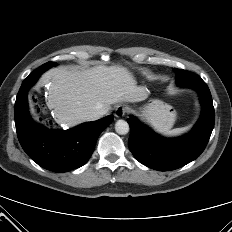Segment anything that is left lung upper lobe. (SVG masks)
<instances>
[{
    "mask_svg": "<svg viewBox=\"0 0 232 232\" xmlns=\"http://www.w3.org/2000/svg\"><path fill=\"white\" fill-rule=\"evenodd\" d=\"M176 73V84L177 86H180L184 84L185 82H188L192 79V72L182 70V69H174Z\"/></svg>",
    "mask_w": 232,
    "mask_h": 232,
    "instance_id": "5c2ea615",
    "label": "left lung upper lobe"
}]
</instances>
